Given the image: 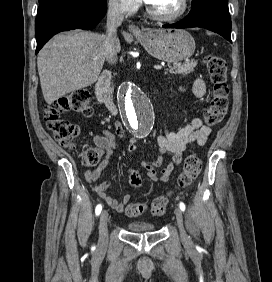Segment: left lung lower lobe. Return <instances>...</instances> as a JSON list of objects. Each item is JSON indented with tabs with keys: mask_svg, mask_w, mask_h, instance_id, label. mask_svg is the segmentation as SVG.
<instances>
[{
	"mask_svg": "<svg viewBox=\"0 0 272 282\" xmlns=\"http://www.w3.org/2000/svg\"><path fill=\"white\" fill-rule=\"evenodd\" d=\"M163 27L206 28L231 42V18L228 0H192L191 11L185 19L175 24L163 25Z\"/></svg>",
	"mask_w": 272,
	"mask_h": 282,
	"instance_id": "0a47b994",
	"label": "left lung lower lobe"
}]
</instances>
